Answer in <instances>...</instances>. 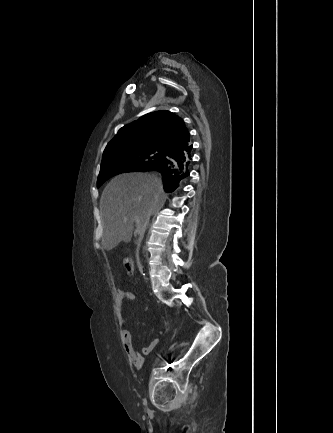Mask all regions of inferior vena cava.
Returning a JSON list of instances; mask_svg holds the SVG:
<instances>
[{
    "mask_svg": "<svg viewBox=\"0 0 333 433\" xmlns=\"http://www.w3.org/2000/svg\"><path fill=\"white\" fill-rule=\"evenodd\" d=\"M149 219H150V215H148V216L145 218V220H144V223H143V226H142V229H141L142 232H141V234H140L141 237H143V235H144V233H145V231H146V228H147V225H148Z\"/></svg>",
    "mask_w": 333,
    "mask_h": 433,
    "instance_id": "obj_1",
    "label": "inferior vena cava"
}]
</instances>
